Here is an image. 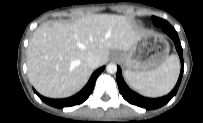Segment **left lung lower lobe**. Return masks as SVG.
Returning <instances> with one entry per match:
<instances>
[{"label":"left lung lower lobe","mask_w":203,"mask_h":123,"mask_svg":"<svg viewBox=\"0 0 203 123\" xmlns=\"http://www.w3.org/2000/svg\"><path fill=\"white\" fill-rule=\"evenodd\" d=\"M160 27L174 41L176 50L179 54L180 61H181V72H180L178 82L174 87V89L168 95L161 98H156V99L146 98L138 95L137 93L131 91L128 88V86L126 85V83L122 78L120 67L119 66L117 67L116 79H117L119 91L122 94L123 98L129 103L145 109H156L168 103L176 95L179 85L181 83L182 75H183L184 61H183L182 47L178 38V34L175 31V29L165 20L161 22Z\"/></svg>","instance_id":"0a47b994"}]
</instances>
